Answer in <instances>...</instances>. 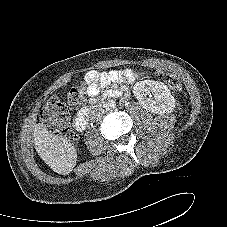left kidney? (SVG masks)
Instances as JSON below:
<instances>
[{
    "label": "left kidney",
    "instance_id": "obj_1",
    "mask_svg": "<svg viewBox=\"0 0 227 227\" xmlns=\"http://www.w3.org/2000/svg\"><path fill=\"white\" fill-rule=\"evenodd\" d=\"M133 93L140 105L152 113H169L176 105L175 98L162 82L154 80L137 82L133 87Z\"/></svg>",
    "mask_w": 227,
    "mask_h": 227
}]
</instances>
